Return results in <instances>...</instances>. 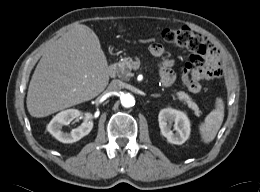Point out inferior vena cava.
Returning a JSON list of instances; mask_svg holds the SVG:
<instances>
[{
    "label": "inferior vena cava",
    "mask_w": 260,
    "mask_h": 192,
    "mask_svg": "<svg viewBox=\"0 0 260 192\" xmlns=\"http://www.w3.org/2000/svg\"><path fill=\"white\" fill-rule=\"evenodd\" d=\"M123 87V83L120 80L114 79L108 86V91H118Z\"/></svg>",
    "instance_id": "obj_1"
}]
</instances>
